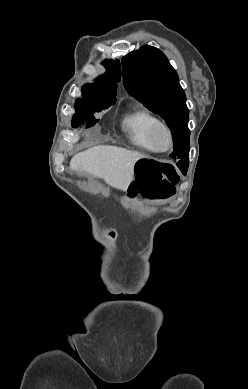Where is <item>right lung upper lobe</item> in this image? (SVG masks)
Returning a JSON list of instances; mask_svg holds the SVG:
<instances>
[{
  "instance_id": "right-lung-upper-lobe-1",
  "label": "right lung upper lobe",
  "mask_w": 248,
  "mask_h": 389,
  "mask_svg": "<svg viewBox=\"0 0 248 389\" xmlns=\"http://www.w3.org/2000/svg\"><path fill=\"white\" fill-rule=\"evenodd\" d=\"M103 65L106 72L95 79L96 83L85 84L83 89L95 95L116 97L117 83L121 78L120 63L113 60H105Z\"/></svg>"
}]
</instances>
